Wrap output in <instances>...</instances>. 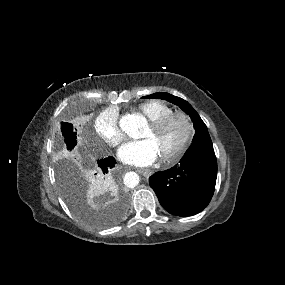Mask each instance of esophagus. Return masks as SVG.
I'll list each match as a JSON object with an SVG mask.
<instances>
[{
	"label": "esophagus",
	"instance_id": "1",
	"mask_svg": "<svg viewBox=\"0 0 285 285\" xmlns=\"http://www.w3.org/2000/svg\"><path fill=\"white\" fill-rule=\"evenodd\" d=\"M138 171H139V173H141L143 176H145L147 178L150 177L153 173V171L150 169H139Z\"/></svg>",
	"mask_w": 285,
	"mask_h": 285
}]
</instances>
